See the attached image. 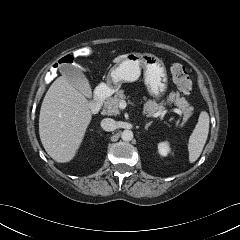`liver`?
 <instances>
[{
	"label": "liver",
	"mask_w": 240,
	"mask_h": 240,
	"mask_svg": "<svg viewBox=\"0 0 240 240\" xmlns=\"http://www.w3.org/2000/svg\"><path fill=\"white\" fill-rule=\"evenodd\" d=\"M127 54L117 56L119 63ZM92 114L85 95L64 75L48 89L40 109L39 135L48 155L59 163L71 161L79 149Z\"/></svg>",
	"instance_id": "6515ba94"
}]
</instances>
